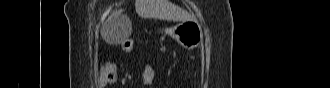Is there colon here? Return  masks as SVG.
<instances>
[{"label": "colon", "instance_id": "obj_1", "mask_svg": "<svg viewBox=\"0 0 330 88\" xmlns=\"http://www.w3.org/2000/svg\"><path fill=\"white\" fill-rule=\"evenodd\" d=\"M134 42L132 39H125L121 42L122 49L129 51L133 48ZM117 80V70L113 64H106L101 72L102 85H112Z\"/></svg>", "mask_w": 330, "mask_h": 88}]
</instances>
